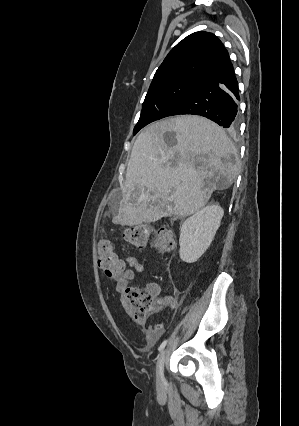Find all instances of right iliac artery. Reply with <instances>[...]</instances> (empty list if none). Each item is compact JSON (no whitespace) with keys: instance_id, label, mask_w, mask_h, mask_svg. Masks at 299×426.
Here are the masks:
<instances>
[{"instance_id":"right-iliac-artery-1","label":"right iliac artery","mask_w":299,"mask_h":426,"mask_svg":"<svg viewBox=\"0 0 299 426\" xmlns=\"http://www.w3.org/2000/svg\"><path fill=\"white\" fill-rule=\"evenodd\" d=\"M166 344H167V340H164V341L160 344V346H159V348H158V351H159V352H161V351L164 349V347L166 346Z\"/></svg>"}]
</instances>
